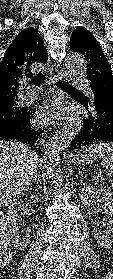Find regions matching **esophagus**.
Listing matches in <instances>:
<instances>
[{
	"mask_svg": "<svg viewBox=\"0 0 113 279\" xmlns=\"http://www.w3.org/2000/svg\"><path fill=\"white\" fill-rule=\"evenodd\" d=\"M55 80L56 81H68V76L65 75L63 72H58L56 75H55ZM73 118V113L72 112H67V113H64L62 116H60V122L57 123V125L59 124H62V123H65V122H68L70 120H72Z\"/></svg>",
	"mask_w": 113,
	"mask_h": 279,
	"instance_id": "esophagus-1",
	"label": "esophagus"
}]
</instances>
